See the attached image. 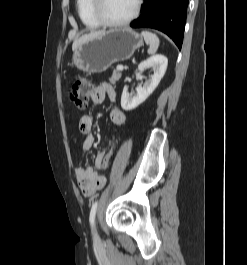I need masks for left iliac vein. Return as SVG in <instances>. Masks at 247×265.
Masks as SVG:
<instances>
[{"mask_svg": "<svg viewBox=\"0 0 247 265\" xmlns=\"http://www.w3.org/2000/svg\"><path fill=\"white\" fill-rule=\"evenodd\" d=\"M93 233H94V235L97 234V232H96V227H94V229H93Z\"/></svg>", "mask_w": 247, "mask_h": 265, "instance_id": "4c4485c4", "label": "left iliac vein"}]
</instances>
